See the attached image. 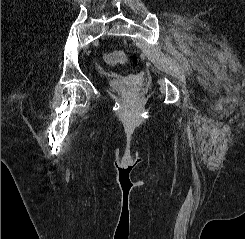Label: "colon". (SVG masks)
<instances>
[{
    "mask_svg": "<svg viewBox=\"0 0 245 239\" xmlns=\"http://www.w3.org/2000/svg\"><path fill=\"white\" fill-rule=\"evenodd\" d=\"M104 60L106 63L110 65H116L120 63H126L128 60V56L123 51H113V52L105 54Z\"/></svg>",
    "mask_w": 245,
    "mask_h": 239,
    "instance_id": "colon-1",
    "label": "colon"
}]
</instances>
